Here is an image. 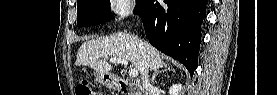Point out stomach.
<instances>
[{
  "label": "stomach",
  "mask_w": 277,
  "mask_h": 95,
  "mask_svg": "<svg viewBox=\"0 0 277 95\" xmlns=\"http://www.w3.org/2000/svg\"><path fill=\"white\" fill-rule=\"evenodd\" d=\"M95 77H96V80H97L98 82H100L101 84H103V85H105V86L110 87V86H113V85H114V82H113L111 76H110L108 73L105 74V73H101V72H98V71H97V72L95 73Z\"/></svg>",
  "instance_id": "obj_1"
}]
</instances>
